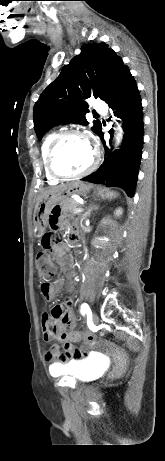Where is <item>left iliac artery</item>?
<instances>
[{
  "label": "left iliac artery",
  "mask_w": 165,
  "mask_h": 461,
  "mask_svg": "<svg viewBox=\"0 0 165 461\" xmlns=\"http://www.w3.org/2000/svg\"><path fill=\"white\" fill-rule=\"evenodd\" d=\"M81 313H82L83 315H84L85 313L91 314V310H90L89 306H88L86 303L82 304V306H81Z\"/></svg>",
  "instance_id": "1"
}]
</instances>
